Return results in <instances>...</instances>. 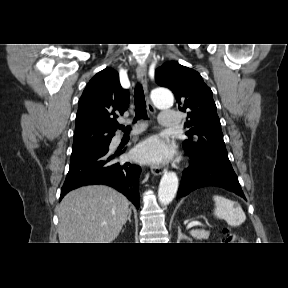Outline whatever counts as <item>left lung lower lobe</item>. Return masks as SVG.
<instances>
[{
	"mask_svg": "<svg viewBox=\"0 0 288 288\" xmlns=\"http://www.w3.org/2000/svg\"><path fill=\"white\" fill-rule=\"evenodd\" d=\"M189 156L190 166L183 172L177 198L201 187L216 186L246 199L231 165L210 157Z\"/></svg>",
	"mask_w": 288,
	"mask_h": 288,
	"instance_id": "obj_1",
	"label": "left lung lower lobe"
}]
</instances>
